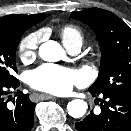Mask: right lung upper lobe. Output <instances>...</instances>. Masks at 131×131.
<instances>
[{"label":"right lung upper lobe","instance_id":"right-lung-upper-lobe-1","mask_svg":"<svg viewBox=\"0 0 131 131\" xmlns=\"http://www.w3.org/2000/svg\"><path fill=\"white\" fill-rule=\"evenodd\" d=\"M46 18V14L8 15L0 18V28L29 29Z\"/></svg>","mask_w":131,"mask_h":131}]
</instances>
